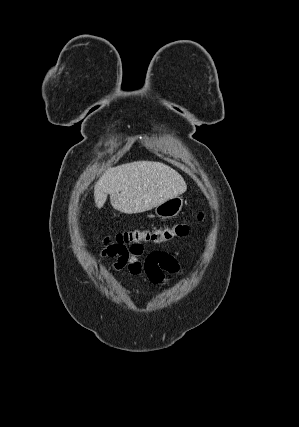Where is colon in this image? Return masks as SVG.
Wrapping results in <instances>:
<instances>
[{
	"label": "colon",
	"instance_id": "1",
	"mask_svg": "<svg viewBox=\"0 0 299 427\" xmlns=\"http://www.w3.org/2000/svg\"><path fill=\"white\" fill-rule=\"evenodd\" d=\"M197 219H202L201 213L198 214ZM190 230L191 226L186 222H179L153 228L130 229L117 234L115 241L108 243L104 254L108 256H115L126 251V245L128 244H161L174 239L184 238L190 233Z\"/></svg>",
	"mask_w": 299,
	"mask_h": 427
}]
</instances>
